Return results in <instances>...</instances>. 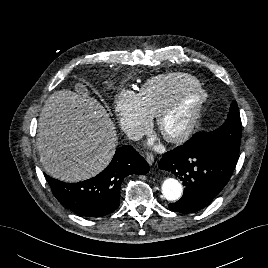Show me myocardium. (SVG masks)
<instances>
[{
    "label": "myocardium",
    "instance_id": "1",
    "mask_svg": "<svg viewBox=\"0 0 268 268\" xmlns=\"http://www.w3.org/2000/svg\"><path fill=\"white\" fill-rule=\"evenodd\" d=\"M194 93L196 96L195 103L193 104L190 116L186 124L176 133L167 134L163 131V123L168 116H170L181 104L182 98L188 93ZM208 94L205 89L200 85L187 86L176 93L158 112L156 115V127L164 139L170 143L181 144L189 139L195 131L204 106L207 102Z\"/></svg>",
    "mask_w": 268,
    "mask_h": 268
}]
</instances>
